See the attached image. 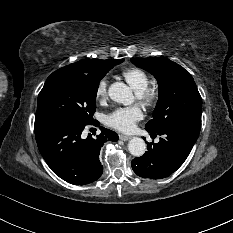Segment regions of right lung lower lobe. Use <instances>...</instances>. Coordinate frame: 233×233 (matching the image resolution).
Returning <instances> with one entry per match:
<instances>
[{"label":"right lung lower lobe","mask_w":233,"mask_h":233,"mask_svg":"<svg viewBox=\"0 0 233 233\" xmlns=\"http://www.w3.org/2000/svg\"><path fill=\"white\" fill-rule=\"evenodd\" d=\"M86 124L58 120H35V137L40 153L50 169L61 179L76 185L92 183L100 178L103 166L99 152L103 144L117 141V133L101 127L93 138L82 137Z\"/></svg>","instance_id":"1"}]
</instances>
